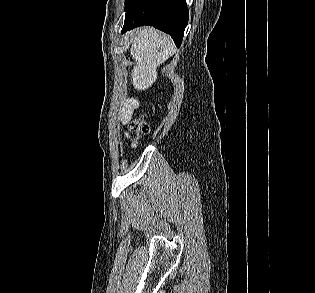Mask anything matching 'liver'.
Listing matches in <instances>:
<instances>
[{"mask_svg": "<svg viewBox=\"0 0 315 293\" xmlns=\"http://www.w3.org/2000/svg\"><path fill=\"white\" fill-rule=\"evenodd\" d=\"M159 49H161L159 51ZM175 52L172 39L154 28L144 27L133 33L130 53L135 60L132 70V84L138 91H145L157 80V67ZM140 102L136 98L121 103L119 119L123 125L131 120L133 111Z\"/></svg>", "mask_w": 315, "mask_h": 293, "instance_id": "liver-1", "label": "liver"}]
</instances>
